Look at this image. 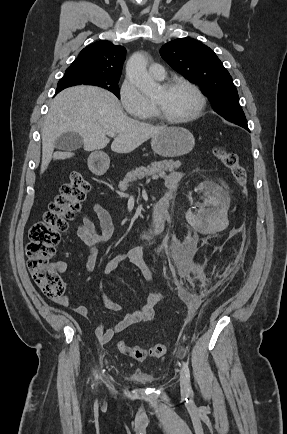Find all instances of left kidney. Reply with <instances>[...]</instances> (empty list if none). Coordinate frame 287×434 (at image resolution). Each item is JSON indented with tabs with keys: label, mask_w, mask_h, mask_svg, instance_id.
<instances>
[{
	"label": "left kidney",
	"mask_w": 287,
	"mask_h": 434,
	"mask_svg": "<svg viewBox=\"0 0 287 434\" xmlns=\"http://www.w3.org/2000/svg\"><path fill=\"white\" fill-rule=\"evenodd\" d=\"M200 187L205 190L204 207H211L209 209L203 208L201 209V212L211 214L212 211H215L217 212L216 216L219 214L221 216H225L229 199L225 195L223 190L218 185L210 181H205L201 183ZM186 219L187 222L193 227H197L200 223L199 217L193 214L191 210H188V212L186 213Z\"/></svg>",
	"instance_id": "1"
}]
</instances>
